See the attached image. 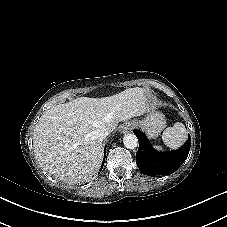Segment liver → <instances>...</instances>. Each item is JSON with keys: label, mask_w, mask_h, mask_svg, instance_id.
Masks as SVG:
<instances>
[{"label": "liver", "mask_w": 227, "mask_h": 227, "mask_svg": "<svg viewBox=\"0 0 227 227\" xmlns=\"http://www.w3.org/2000/svg\"><path fill=\"white\" fill-rule=\"evenodd\" d=\"M149 96L142 88H128L103 98L80 97L46 110L35 126V158L53 177L69 183L86 182L98 172L102 141L95 131L116 129L149 111Z\"/></svg>", "instance_id": "6515ba94"}]
</instances>
